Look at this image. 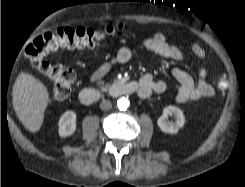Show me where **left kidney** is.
<instances>
[{
    "instance_id": "1",
    "label": "left kidney",
    "mask_w": 245,
    "mask_h": 187,
    "mask_svg": "<svg viewBox=\"0 0 245 187\" xmlns=\"http://www.w3.org/2000/svg\"><path fill=\"white\" fill-rule=\"evenodd\" d=\"M174 115L176 117L175 122L168 121V117ZM157 124L159 128L169 134H177L179 129L185 124V117L180 108L176 106H167L163 109L162 116L158 119Z\"/></svg>"
}]
</instances>
